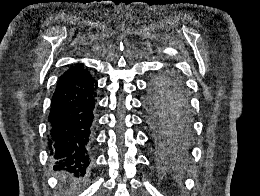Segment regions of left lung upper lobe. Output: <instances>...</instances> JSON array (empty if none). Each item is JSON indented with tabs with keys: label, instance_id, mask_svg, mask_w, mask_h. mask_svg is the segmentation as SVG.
I'll use <instances>...</instances> for the list:
<instances>
[{
	"label": "left lung upper lobe",
	"instance_id": "left-lung-upper-lobe-1",
	"mask_svg": "<svg viewBox=\"0 0 260 196\" xmlns=\"http://www.w3.org/2000/svg\"><path fill=\"white\" fill-rule=\"evenodd\" d=\"M145 121L152 143L161 151L185 148L194 138V119L184 84L167 72L149 84L144 100Z\"/></svg>",
	"mask_w": 260,
	"mask_h": 196
}]
</instances>
